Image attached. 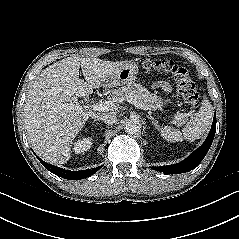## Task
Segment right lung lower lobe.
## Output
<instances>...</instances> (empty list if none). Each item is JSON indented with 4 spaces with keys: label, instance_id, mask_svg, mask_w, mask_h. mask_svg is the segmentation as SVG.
Returning <instances> with one entry per match:
<instances>
[{
    "label": "right lung lower lobe",
    "instance_id": "1",
    "mask_svg": "<svg viewBox=\"0 0 239 239\" xmlns=\"http://www.w3.org/2000/svg\"><path fill=\"white\" fill-rule=\"evenodd\" d=\"M39 161L43 164V166L49 170L50 172H52L53 174L65 178V179H69V180H78V179H84L90 175H93L94 173H96L102 166H98L96 168H92V169H87V170H81V171H69V170H65L62 169L60 167H56L53 166L51 164L46 163L45 161H43L42 159H40L38 156H36Z\"/></svg>",
    "mask_w": 239,
    "mask_h": 239
}]
</instances>
